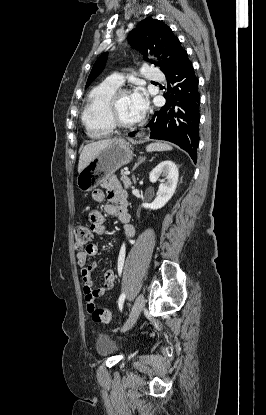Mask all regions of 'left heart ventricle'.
I'll return each instance as SVG.
<instances>
[{
    "label": "left heart ventricle",
    "instance_id": "b2bd125f",
    "mask_svg": "<svg viewBox=\"0 0 266 415\" xmlns=\"http://www.w3.org/2000/svg\"><path fill=\"white\" fill-rule=\"evenodd\" d=\"M117 114L125 123H134L142 116L133 107L130 94H125L118 99Z\"/></svg>",
    "mask_w": 266,
    "mask_h": 415
}]
</instances>
